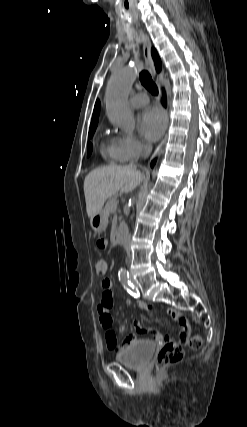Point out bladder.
Segmentation results:
<instances>
[{
    "instance_id": "obj_1",
    "label": "bladder",
    "mask_w": 247,
    "mask_h": 427,
    "mask_svg": "<svg viewBox=\"0 0 247 427\" xmlns=\"http://www.w3.org/2000/svg\"><path fill=\"white\" fill-rule=\"evenodd\" d=\"M156 349L154 342L139 340L119 351L115 359L131 369L144 368L152 358Z\"/></svg>"
}]
</instances>
